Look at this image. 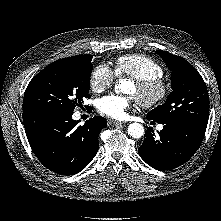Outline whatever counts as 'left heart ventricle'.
Listing matches in <instances>:
<instances>
[{"instance_id": "b2bd125f", "label": "left heart ventricle", "mask_w": 221, "mask_h": 221, "mask_svg": "<svg viewBox=\"0 0 221 221\" xmlns=\"http://www.w3.org/2000/svg\"><path fill=\"white\" fill-rule=\"evenodd\" d=\"M129 93H130V94H133V95H136V93H137V87H136V85H133V86L131 87V89L129 90Z\"/></svg>"}]
</instances>
